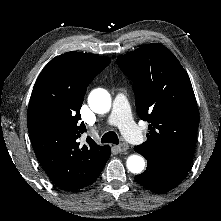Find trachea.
Here are the masks:
<instances>
[{"label":"trachea","instance_id":"3493384b","mask_svg":"<svg viewBox=\"0 0 221 221\" xmlns=\"http://www.w3.org/2000/svg\"><path fill=\"white\" fill-rule=\"evenodd\" d=\"M101 143L119 144V138L115 132L110 131L102 136Z\"/></svg>","mask_w":221,"mask_h":221}]
</instances>
